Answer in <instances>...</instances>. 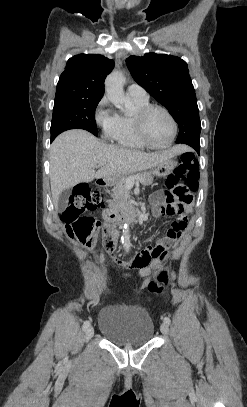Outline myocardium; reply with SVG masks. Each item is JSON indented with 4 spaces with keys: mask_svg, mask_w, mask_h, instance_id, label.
I'll return each mask as SVG.
<instances>
[{
    "mask_svg": "<svg viewBox=\"0 0 247 407\" xmlns=\"http://www.w3.org/2000/svg\"><path fill=\"white\" fill-rule=\"evenodd\" d=\"M153 110H160L163 113L167 115V117L170 119L172 126H173V132L171 135L170 140L164 144V145H154L152 144L146 137L145 130H144V124H145V119L148 116L150 112ZM133 124H134V129L135 133L138 137V139L141 141L143 145H145L148 148L151 149H156V150H162L170 147L173 142L176 139L177 133H178V123L173 116V114L165 107L161 105H156V104H148L147 106L138 109L135 111L133 115Z\"/></svg>",
    "mask_w": 247,
    "mask_h": 407,
    "instance_id": "obj_1",
    "label": "myocardium"
}]
</instances>
